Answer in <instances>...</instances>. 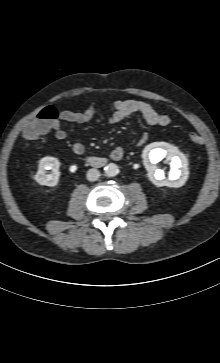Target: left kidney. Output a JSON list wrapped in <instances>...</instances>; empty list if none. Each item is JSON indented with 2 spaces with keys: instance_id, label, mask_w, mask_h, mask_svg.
Listing matches in <instances>:
<instances>
[{
  "instance_id": "left-kidney-1",
  "label": "left kidney",
  "mask_w": 220,
  "mask_h": 363,
  "mask_svg": "<svg viewBox=\"0 0 220 363\" xmlns=\"http://www.w3.org/2000/svg\"><path fill=\"white\" fill-rule=\"evenodd\" d=\"M142 158L148 178L154 185L179 188L186 183L189 176L188 159L177 147L166 142H153L144 148ZM163 158L170 161L168 178L156 166Z\"/></svg>"
}]
</instances>
